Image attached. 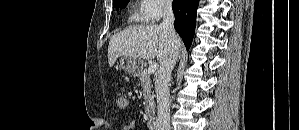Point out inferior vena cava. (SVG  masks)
Listing matches in <instances>:
<instances>
[{"label": "inferior vena cava", "mask_w": 299, "mask_h": 130, "mask_svg": "<svg viewBox=\"0 0 299 130\" xmlns=\"http://www.w3.org/2000/svg\"><path fill=\"white\" fill-rule=\"evenodd\" d=\"M161 27L169 35L170 51L162 61L155 79V92L157 96L158 119L157 130H170V92L169 82L171 72L178 60L181 43L180 38L174 29V13L172 3L166 2L163 8V21Z\"/></svg>", "instance_id": "obj_1"}]
</instances>
